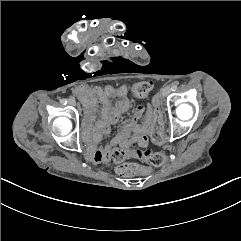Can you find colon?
Listing matches in <instances>:
<instances>
[{
    "label": "colon",
    "instance_id": "5ec220e1",
    "mask_svg": "<svg viewBox=\"0 0 241 241\" xmlns=\"http://www.w3.org/2000/svg\"><path fill=\"white\" fill-rule=\"evenodd\" d=\"M152 91V86L146 82L141 81L138 84H132L128 88V93L134 97L139 98L140 96H146ZM153 105L156 112V122L152 131V141L156 144H161L163 142V121L162 113L160 112V106L158 97H153ZM139 157L145 160L148 164H143L138 166L136 164L127 163L122 166H116L115 172L123 176H130L139 174H148L152 172V166H160L165 163L166 157L162 154L151 151L150 149H143L141 147H136L132 149H125L124 153H111V158L115 162H121L126 158Z\"/></svg>",
    "mask_w": 241,
    "mask_h": 241
}]
</instances>
